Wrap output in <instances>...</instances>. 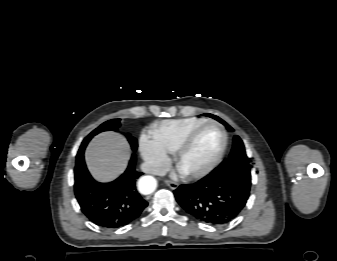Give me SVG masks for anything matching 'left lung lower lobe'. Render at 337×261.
<instances>
[{"label":"left lung lower lobe","mask_w":337,"mask_h":261,"mask_svg":"<svg viewBox=\"0 0 337 261\" xmlns=\"http://www.w3.org/2000/svg\"><path fill=\"white\" fill-rule=\"evenodd\" d=\"M249 194L250 190L233 178L213 173L174 191L177 202L190 216L209 225H223L235 219Z\"/></svg>","instance_id":"left-lung-lower-lobe-1"}]
</instances>
